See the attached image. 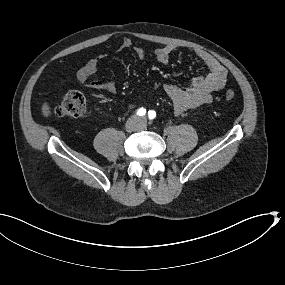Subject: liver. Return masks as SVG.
<instances>
[{"label":"liver","instance_id":"1","mask_svg":"<svg viewBox=\"0 0 285 285\" xmlns=\"http://www.w3.org/2000/svg\"><path fill=\"white\" fill-rule=\"evenodd\" d=\"M41 113L44 118H49L52 116L51 105L48 101H43L41 104Z\"/></svg>","mask_w":285,"mask_h":285}]
</instances>
